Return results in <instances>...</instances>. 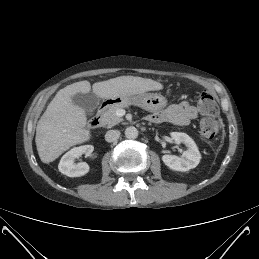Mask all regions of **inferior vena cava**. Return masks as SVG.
<instances>
[{
    "label": "inferior vena cava",
    "instance_id": "602c4592",
    "mask_svg": "<svg viewBox=\"0 0 259 259\" xmlns=\"http://www.w3.org/2000/svg\"><path fill=\"white\" fill-rule=\"evenodd\" d=\"M120 136V132L118 130H109L105 134V140L107 142H114L116 141Z\"/></svg>",
    "mask_w": 259,
    "mask_h": 259
}]
</instances>
